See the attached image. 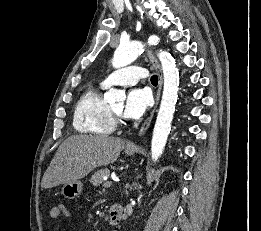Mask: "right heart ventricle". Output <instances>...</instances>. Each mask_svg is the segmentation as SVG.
<instances>
[{"instance_id": "obj_1", "label": "right heart ventricle", "mask_w": 261, "mask_h": 231, "mask_svg": "<svg viewBox=\"0 0 261 231\" xmlns=\"http://www.w3.org/2000/svg\"><path fill=\"white\" fill-rule=\"evenodd\" d=\"M91 88L77 101L73 113V127L81 134L106 136L115 129L111 109L103 100L102 89Z\"/></svg>"}]
</instances>
